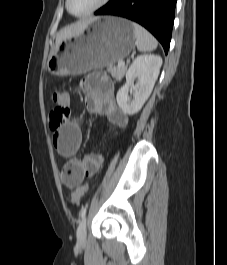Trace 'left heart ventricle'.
Returning a JSON list of instances; mask_svg holds the SVG:
<instances>
[{
  "label": "left heart ventricle",
  "mask_w": 227,
  "mask_h": 265,
  "mask_svg": "<svg viewBox=\"0 0 227 265\" xmlns=\"http://www.w3.org/2000/svg\"><path fill=\"white\" fill-rule=\"evenodd\" d=\"M100 0H70V10L75 14L84 13L93 8Z\"/></svg>",
  "instance_id": "b2bd125f"
}]
</instances>
